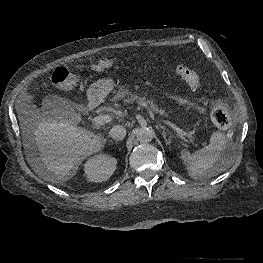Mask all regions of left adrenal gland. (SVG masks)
I'll return each instance as SVG.
<instances>
[{
	"instance_id": "obj_1",
	"label": "left adrenal gland",
	"mask_w": 263,
	"mask_h": 263,
	"mask_svg": "<svg viewBox=\"0 0 263 263\" xmlns=\"http://www.w3.org/2000/svg\"><path fill=\"white\" fill-rule=\"evenodd\" d=\"M159 127L163 130L162 134H163V138H164L166 144L169 145V144L171 143V141H170L171 136H169V140H167V135H166V132H165V127H164V126H161V125H159Z\"/></svg>"
}]
</instances>
